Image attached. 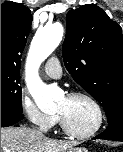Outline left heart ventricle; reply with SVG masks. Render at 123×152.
Listing matches in <instances>:
<instances>
[{
	"label": "left heart ventricle",
	"instance_id": "left-heart-ventricle-1",
	"mask_svg": "<svg viewBox=\"0 0 123 152\" xmlns=\"http://www.w3.org/2000/svg\"><path fill=\"white\" fill-rule=\"evenodd\" d=\"M57 113H60L68 125L78 132L91 130L98 118L94 106L83 98H62L58 103Z\"/></svg>",
	"mask_w": 123,
	"mask_h": 152
}]
</instances>
